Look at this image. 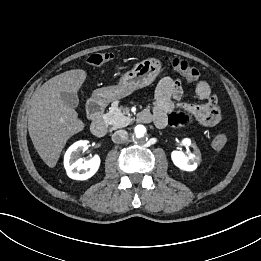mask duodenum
I'll return each mask as SVG.
<instances>
[{
    "label": "duodenum",
    "mask_w": 261,
    "mask_h": 261,
    "mask_svg": "<svg viewBox=\"0 0 261 261\" xmlns=\"http://www.w3.org/2000/svg\"><path fill=\"white\" fill-rule=\"evenodd\" d=\"M104 101L96 98L91 100L87 106V113L91 119V132L94 136L101 138L107 133V125L102 117L104 112ZM150 116L146 111L139 114V119L143 122H147Z\"/></svg>",
    "instance_id": "1"
}]
</instances>
